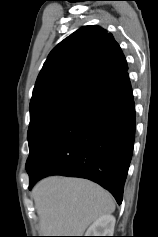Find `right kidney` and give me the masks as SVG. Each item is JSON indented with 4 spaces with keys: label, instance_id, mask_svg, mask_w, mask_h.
<instances>
[{
    "label": "right kidney",
    "instance_id": "ca27d5eb",
    "mask_svg": "<svg viewBox=\"0 0 158 237\" xmlns=\"http://www.w3.org/2000/svg\"><path fill=\"white\" fill-rule=\"evenodd\" d=\"M114 226V216H101L88 228L85 236H113Z\"/></svg>",
    "mask_w": 158,
    "mask_h": 237
}]
</instances>
